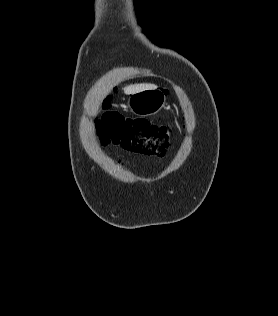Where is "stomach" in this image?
<instances>
[{
    "label": "stomach",
    "instance_id": "1",
    "mask_svg": "<svg viewBox=\"0 0 278 316\" xmlns=\"http://www.w3.org/2000/svg\"><path fill=\"white\" fill-rule=\"evenodd\" d=\"M166 103V94L159 89H147L131 94L127 101L130 113L145 117L159 112Z\"/></svg>",
    "mask_w": 278,
    "mask_h": 316
}]
</instances>
